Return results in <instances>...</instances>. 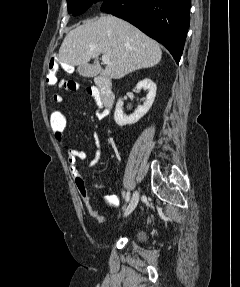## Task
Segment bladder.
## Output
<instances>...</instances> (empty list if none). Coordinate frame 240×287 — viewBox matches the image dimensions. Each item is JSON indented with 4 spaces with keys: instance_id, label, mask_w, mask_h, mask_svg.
Listing matches in <instances>:
<instances>
[{
    "instance_id": "bladder-1",
    "label": "bladder",
    "mask_w": 240,
    "mask_h": 287,
    "mask_svg": "<svg viewBox=\"0 0 240 287\" xmlns=\"http://www.w3.org/2000/svg\"><path fill=\"white\" fill-rule=\"evenodd\" d=\"M136 237H137V239L140 240V241H143V240L145 239V235H144V233L141 232V231H138V232L136 233Z\"/></svg>"
}]
</instances>
